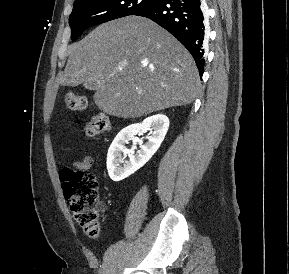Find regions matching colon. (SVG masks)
Listing matches in <instances>:
<instances>
[{
  "instance_id": "1",
  "label": "colon",
  "mask_w": 289,
  "mask_h": 274,
  "mask_svg": "<svg viewBox=\"0 0 289 274\" xmlns=\"http://www.w3.org/2000/svg\"><path fill=\"white\" fill-rule=\"evenodd\" d=\"M64 104L70 111L81 112L89 107L90 102L84 95L70 93L65 96ZM109 129L110 120L103 112L94 114L84 127L88 137L104 134ZM61 181L75 220L86 235L97 237L100 233L99 216L105 210V205L99 199L96 177L91 172L67 167L61 172Z\"/></svg>"
}]
</instances>
